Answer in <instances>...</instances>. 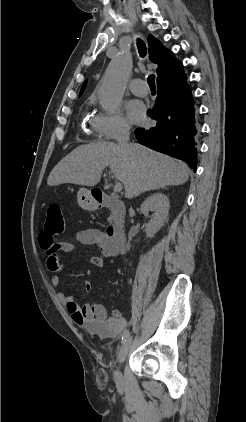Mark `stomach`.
Listing matches in <instances>:
<instances>
[{"label": "stomach", "mask_w": 246, "mask_h": 422, "mask_svg": "<svg viewBox=\"0 0 246 422\" xmlns=\"http://www.w3.org/2000/svg\"><path fill=\"white\" fill-rule=\"evenodd\" d=\"M77 201L81 208L92 211L97 208V201L93 197L91 190L80 188L77 193Z\"/></svg>", "instance_id": "obj_1"}]
</instances>
